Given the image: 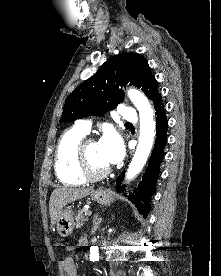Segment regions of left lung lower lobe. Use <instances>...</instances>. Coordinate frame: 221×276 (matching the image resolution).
<instances>
[{
  "label": "left lung lower lobe",
  "mask_w": 221,
  "mask_h": 276,
  "mask_svg": "<svg viewBox=\"0 0 221 276\" xmlns=\"http://www.w3.org/2000/svg\"><path fill=\"white\" fill-rule=\"evenodd\" d=\"M153 105L156 115V139L155 145L148 163V167L143 174L142 180L139 182L138 186L134 189L133 193L129 195V199L134 203L139 211V213L144 216L148 215L151 208V197L153 196L158 180V175L160 172V163L163 160L164 148L167 142V129L168 120L166 117V112L164 109V103L159 93L153 100ZM125 172L117 179V191L119 193L125 191V186H121L124 179Z\"/></svg>",
  "instance_id": "0a47b994"
}]
</instances>
